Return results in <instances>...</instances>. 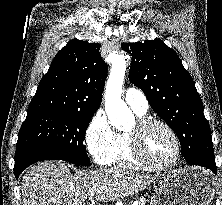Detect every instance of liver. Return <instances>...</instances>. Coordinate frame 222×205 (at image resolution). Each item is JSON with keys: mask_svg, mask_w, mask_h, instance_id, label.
Masks as SVG:
<instances>
[{"mask_svg": "<svg viewBox=\"0 0 222 205\" xmlns=\"http://www.w3.org/2000/svg\"><path fill=\"white\" fill-rule=\"evenodd\" d=\"M156 178L121 166L73 175L66 162L43 161L23 176L21 193L23 205H85L87 198L111 202L138 193Z\"/></svg>", "mask_w": 222, "mask_h": 205, "instance_id": "1", "label": "liver"}]
</instances>
